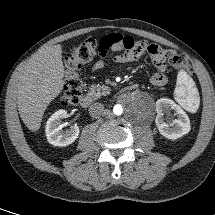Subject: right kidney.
<instances>
[{"label":"right kidney","mask_w":215,"mask_h":215,"mask_svg":"<svg viewBox=\"0 0 215 215\" xmlns=\"http://www.w3.org/2000/svg\"><path fill=\"white\" fill-rule=\"evenodd\" d=\"M66 117L67 111L61 109L48 119L45 132L50 144L59 147L68 146L78 138L80 132L78 126H71L69 129L63 130L64 125L61 120Z\"/></svg>","instance_id":"obj_1"}]
</instances>
